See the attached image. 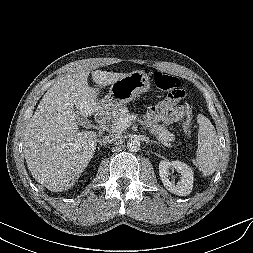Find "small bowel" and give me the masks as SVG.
I'll list each match as a JSON object with an SVG mask.
<instances>
[{"label":"small bowel","mask_w":253,"mask_h":253,"mask_svg":"<svg viewBox=\"0 0 253 253\" xmlns=\"http://www.w3.org/2000/svg\"><path fill=\"white\" fill-rule=\"evenodd\" d=\"M179 100L180 98L168 96L149 109L148 117L165 126L184 120L190 109L186 105L178 106Z\"/></svg>","instance_id":"c3829d8e"}]
</instances>
